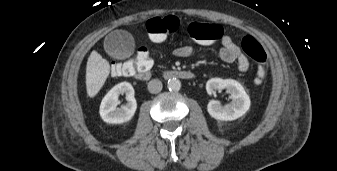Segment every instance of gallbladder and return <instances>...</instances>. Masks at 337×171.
I'll list each match as a JSON object with an SVG mask.
<instances>
[{
    "label": "gallbladder",
    "mask_w": 337,
    "mask_h": 171,
    "mask_svg": "<svg viewBox=\"0 0 337 171\" xmlns=\"http://www.w3.org/2000/svg\"><path fill=\"white\" fill-rule=\"evenodd\" d=\"M104 48L110 56L124 59L133 53L134 40L127 31L116 30L106 36Z\"/></svg>",
    "instance_id": "gallbladder-1"
}]
</instances>
